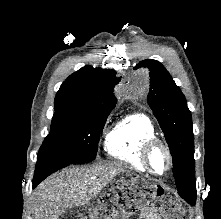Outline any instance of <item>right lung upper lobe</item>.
<instances>
[{
    "mask_svg": "<svg viewBox=\"0 0 221 219\" xmlns=\"http://www.w3.org/2000/svg\"><path fill=\"white\" fill-rule=\"evenodd\" d=\"M115 71L85 66L70 75L55 97V111L81 116L103 115L114 108Z\"/></svg>",
    "mask_w": 221,
    "mask_h": 219,
    "instance_id": "obj_1",
    "label": "right lung upper lobe"
}]
</instances>
